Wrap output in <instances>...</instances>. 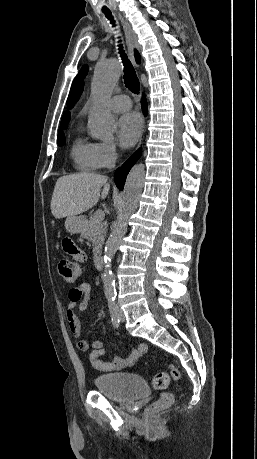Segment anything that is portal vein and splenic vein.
Masks as SVG:
<instances>
[{"label":"portal vein and splenic vein","instance_id":"1","mask_svg":"<svg viewBox=\"0 0 257 459\" xmlns=\"http://www.w3.org/2000/svg\"><path fill=\"white\" fill-rule=\"evenodd\" d=\"M94 216H95L96 220L102 221L104 219V217H105V214H104V212L102 210H97L95 212Z\"/></svg>","mask_w":257,"mask_h":459}]
</instances>
